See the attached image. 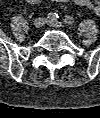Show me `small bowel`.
I'll list each match as a JSON object with an SVG mask.
<instances>
[{
  "label": "small bowel",
  "mask_w": 100,
  "mask_h": 118,
  "mask_svg": "<svg viewBox=\"0 0 100 118\" xmlns=\"http://www.w3.org/2000/svg\"><path fill=\"white\" fill-rule=\"evenodd\" d=\"M25 1L30 4H37L41 2L42 0H25ZM52 1L61 2V3L73 2L78 6H82L87 9H90L97 15L100 14V5L98 3L100 0H97V2L95 0L94 1L93 0H52Z\"/></svg>",
  "instance_id": "c3829d8e"
}]
</instances>
